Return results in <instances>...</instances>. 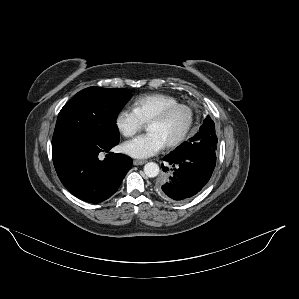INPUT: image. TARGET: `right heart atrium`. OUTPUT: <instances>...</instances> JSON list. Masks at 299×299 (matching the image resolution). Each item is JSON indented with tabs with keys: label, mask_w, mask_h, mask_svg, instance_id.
Returning <instances> with one entry per match:
<instances>
[{
	"label": "right heart atrium",
	"mask_w": 299,
	"mask_h": 299,
	"mask_svg": "<svg viewBox=\"0 0 299 299\" xmlns=\"http://www.w3.org/2000/svg\"><path fill=\"white\" fill-rule=\"evenodd\" d=\"M114 125L116 130L124 137L134 136L143 127L144 123L133 109L123 107L115 115Z\"/></svg>",
	"instance_id": "d8ad5b80"
}]
</instances>
